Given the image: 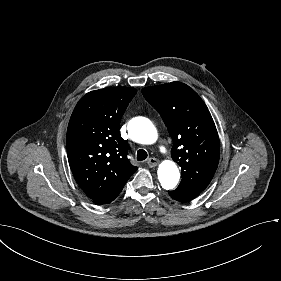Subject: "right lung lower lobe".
<instances>
[{"label": "right lung lower lobe", "instance_id": "98d812e1", "mask_svg": "<svg viewBox=\"0 0 281 281\" xmlns=\"http://www.w3.org/2000/svg\"><path fill=\"white\" fill-rule=\"evenodd\" d=\"M125 183L120 185L117 189H115L114 191H112L110 194H108L107 196H104L100 199H98L97 201H93L96 204H108L110 202H112L121 192V190L123 189Z\"/></svg>", "mask_w": 281, "mask_h": 281}]
</instances>
